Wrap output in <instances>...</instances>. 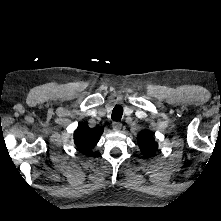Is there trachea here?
Segmentation results:
<instances>
[{"label": "trachea", "instance_id": "trachea-1", "mask_svg": "<svg viewBox=\"0 0 221 221\" xmlns=\"http://www.w3.org/2000/svg\"><path fill=\"white\" fill-rule=\"evenodd\" d=\"M123 115V108L121 106H115L113 111H112V119L114 121H120Z\"/></svg>", "mask_w": 221, "mask_h": 221}]
</instances>
